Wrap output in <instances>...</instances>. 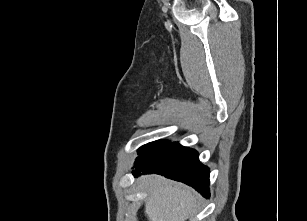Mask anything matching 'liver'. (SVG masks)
Here are the masks:
<instances>
[{"label":"liver","mask_w":307,"mask_h":221,"mask_svg":"<svg viewBox=\"0 0 307 221\" xmlns=\"http://www.w3.org/2000/svg\"><path fill=\"white\" fill-rule=\"evenodd\" d=\"M141 182L149 193L145 201L148 221H186L196 211L198 197L189 188L153 175Z\"/></svg>","instance_id":"1"}]
</instances>
